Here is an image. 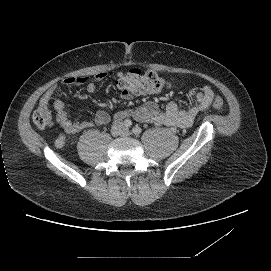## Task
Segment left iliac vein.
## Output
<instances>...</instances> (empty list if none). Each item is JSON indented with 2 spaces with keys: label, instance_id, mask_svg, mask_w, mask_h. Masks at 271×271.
<instances>
[{
  "label": "left iliac vein",
  "instance_id": "1",
  "mask_svg": "<svg viewBox=\"0 0 271 271\" xmlns=\"http://www.w3.org/2000/svg\"><path fill=\"white\" fill-rule=\"evenodd\" d=\"M125 136H129L131 135V132L129 130H124V133H123Z\"/></svg>",
  "mask_w": 271,
  "mask_h": 271
}]
</instances>
